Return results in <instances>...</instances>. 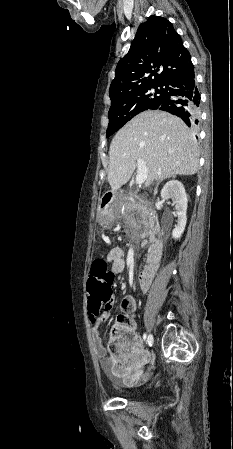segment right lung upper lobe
<instances>
[{"mask_svg": "<svg viewBox=\"0 0 233 449\" xmlns=\"http://www.w3.org/2000/svg\"><path fill=\"white\" fill-rule=\"evenodd\" d=\"M163 68L161 74H158ZM193 68L190 53L166 18L151 16L142 23L128 53L116 67L110 99L152 84H166Z\"/></svg>", "mask_w": 233, "mask_h": 449, "instance_id": "1", "label": "right lung upper lobe"}]
</instances>
